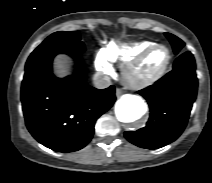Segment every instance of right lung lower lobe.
<instances>
[{
    "label": "right lung lower lobe",
    "mask_w": 212,
    "mask_h": 183,
    "mask_svg": "<svg viewBox=\"0 0 212 183\" xmlns=\"http://www.w3.org/2000/svg\"><path fill=\"white\" fill-rule=\"evenodd\" d=\"M56 54L28 58L21 87L23 113L38 142L54 151L73 152L91 140L96 120L116 100L115 88L100 90L75 76L55 77L52 61Z\"/></svg>",
    "instance_id": "obj_1"
}]
</instances>
